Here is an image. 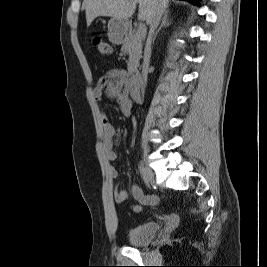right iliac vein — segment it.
I'll return each instance as SVG.
<instances>
[{
    "mask_svg": "<svg viewBox=\"0 0 267 267\" xmlns=\"http://www.w3.org/2000/svg\"><path fill=\"white\" fill-rule=\"evenodd\" d=\"M145 173L147 175V177L149 178L150 181H154V173L153 171L148 168V167H144Z\"/></svg>",
    "mask_w": 267,
    "mask_h": 267,
    "instance_id": "obj_1",
    "label": "right iliac vein"
}]
</instances>
